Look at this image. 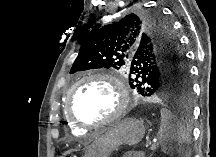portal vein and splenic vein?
Instances as JSON below:
<instances>
[{
  "instance_id": "portal-vein-and-splenic-vein-1",
  "label": "portal vein and splenic vein",
  "mask_w": 216,
  "mask_h": 157,
  "mask_svg": "<svg viewBox=\"0 0 216 157\" xmlns=\"http://www.w3.org/2000/svg\"><path fill=\"white\" fill-rule=\"evenodd\" d=\"M156 148V145H152L151 149H155Z\"/></svg>"
}]
</instances>
